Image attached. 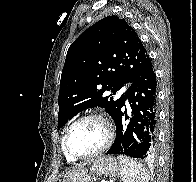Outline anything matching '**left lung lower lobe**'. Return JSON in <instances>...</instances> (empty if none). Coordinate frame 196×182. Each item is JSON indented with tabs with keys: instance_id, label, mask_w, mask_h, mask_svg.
I'll return each mask as SVG.
<instances>
[{
	"instance_id": "1",
	"label": "left lung lower lobe",
	"mask_w": 196,
	"mask_h": 182,
	"mask_svg": "<svg viewBox=\"0 0 196 182\" xmlns=\"http://www.w3.org/2000/svg\"><path fill=\"white\" fill-rule=\"evenodd\" d=\"M156 75L150 61L128 91L119 111L116 138L106 154H123L133 158L153 159L158 132V94ZM129 100L131 112L124 109ZM130 122H127V120Z\"/></svg>"
}]
</instances>
